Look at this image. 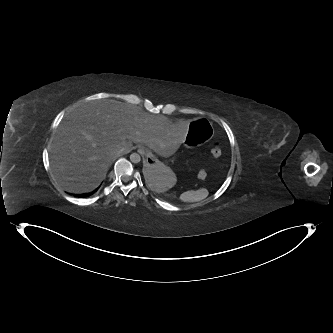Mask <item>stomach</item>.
Returning <instances> with one entry per match:
<instances>
[{"instance_id":"0dacf381","label":"stomach","mask_w":333,"mask_h":333,"mask_svg":"<svg viewBox=\"0 0 333 333\" xmlns=\"http://www.w3.org/2000/svg\"><path fill=\"white\" fill-rule=\"evenodd\" d=\"M214 136V128L207 119L200 118L192 122L188 135L184 138V146L193 148L210 141ZM148 163L144 167L145 181L148 187L157 193H166L178 184L175 169L168 164L155 161L153 155H148Z\"/></svg>"}]
</instances>
